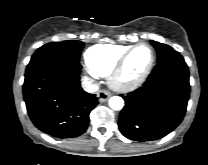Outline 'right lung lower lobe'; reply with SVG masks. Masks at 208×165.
I'll return each instance as SVG.
<instances>
[{
  "label": "right lung lower lobe",
  "instance_id": "right-lung-lower-lobe-1",
  "mask_svg": "<svg viewBox=\"0 0 208 165\" xmlns=\"http://www.w3.org/2000/svg\"><path fill=\"white\" fill-rule=\"evenodd\" d=\"M81 65L65 54H54L28 64L24 101L33 124L59 138L77 137L88 127L98 104L94 94L80 86Z\"/></svg>",
  "mask_w": 208,
  "mask_h": 165
}]
</instances>
